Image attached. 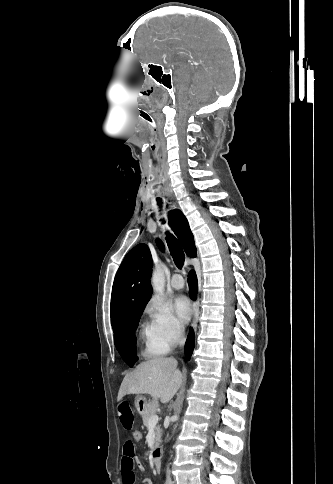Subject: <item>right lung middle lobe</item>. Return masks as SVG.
<instances>
[{
    "label": "right lung middle lobe",
    "instance_id": "dd1d6c3e",
    "mask_svg": "<svg viewBox=\"0 0 333 484\" xmlns=\"http://www.w3.org/2000/svg\"><path fill=\"white\" fill-rule=\"evenodd\" d=\"M143 311L130 314L115 332L114 339L117 350L129 366L137 362L135 328Z\"/></svg>",
    "mask_w": 333,
    "mask_h": 484
}]
</instances>
